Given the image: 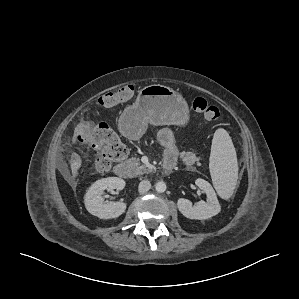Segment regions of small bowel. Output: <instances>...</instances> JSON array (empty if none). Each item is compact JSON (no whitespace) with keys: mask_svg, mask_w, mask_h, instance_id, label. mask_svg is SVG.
<instances>
[{"mask_svg":"<svg viewBox=\"0 0 299 299\" xmlns=\"http://www.w3.org/2000/svg\"><path fill=\"white\" fill-rule=\"evenodd\" d=\"M158 140L164 146V162L175 165L178 159V149L173 132L168 128H163L158 132Z\"/></svg>","mask_w":299,"mask_h":299,"instance_id":"1","label":"small bowel"}]
</instances>
